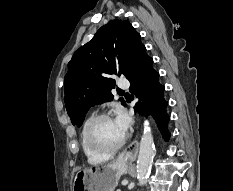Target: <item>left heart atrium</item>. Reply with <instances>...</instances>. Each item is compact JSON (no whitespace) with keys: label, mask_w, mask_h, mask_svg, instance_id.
<instances>
[{"label":"left heart atrium","mask_w":233,"mask_h":191,"mask_svg":"<svg viewBox=\"0 0 233 191\" xmlns=\"http://www.w3.org/2000/svg\"><path fill=\"white\" fill-rule=\"evenodd\" d=\"M114 121L116 122L123 135H125L130 126L129 117L124 112L120 111L117 113Z\"/></svg>","instance_id":"left-heart-atrium-1"}]
</instances>
